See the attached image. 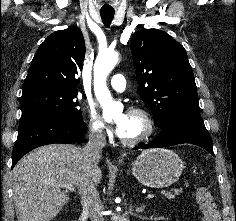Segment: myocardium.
Instances as JSON below:
<instances>
[{"label": "myocardium", "mask_w": 236, "mask_h": 221, "mask_svg": "<svg viewBox=\"0 0 236 221\" xmlns=\"http://www.w3.org/2000/svg\"><path fill=\"white\" fill-rule=\"evenodd\" d=\"M128 113L138 115L144 120L146 126L145 131L141 136L133 139H126L122 136H119L120 141L125 145L135 146L142 144L152 138L156 131V123L153 116L147 110L141 107H131Z\"/></svg>", "instance_id": "1"}]
</instances>
